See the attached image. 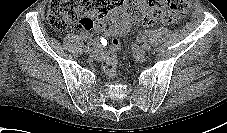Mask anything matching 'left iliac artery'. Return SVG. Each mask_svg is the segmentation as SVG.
I'll return each instance as SVG.
<instances>
[{
	"label": "left iliac artery",
	"mask_w": 227,
	"mask_h": 133,
	"mask_svg": "<svg viewBox=\"0 0 227 133\" xmlns=\"http://www.w3.org/2000/svg\"><path fill=\"white\" fill-rule=\"evenodd\" d=\"M142 47H143L145 50H150V45H149L148 43H146V42L142 45Z\"/></svg>",
	"instance_id": "44dca946"
}]
</instances>
